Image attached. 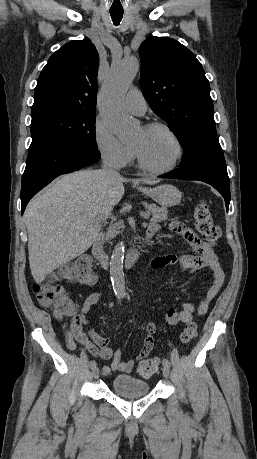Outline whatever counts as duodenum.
<instances>
[{
  "instance_id": "1",
  "label": "duodenum",
  "mask_w": 257,
  "mask_h": 459,
  "mask_svg": "<svg viewBox=\"0 0 257 459\" xmlns=\"http://www.w3.org/2000/svg\"><path fill=\"white\" fill-rule=\"evenodd\" d=\"M147 236L148 238L153 237L154 232L151 230L147 231ZM92 251L101 266H106L108 264L109 257L104 252V235L102 233H99L95 236L92 243ZM141 254L142 253L140 248H134L128 252L126 256V266L132 267L135 265L139 261Z\"/></svg>"
}]
</instances>
